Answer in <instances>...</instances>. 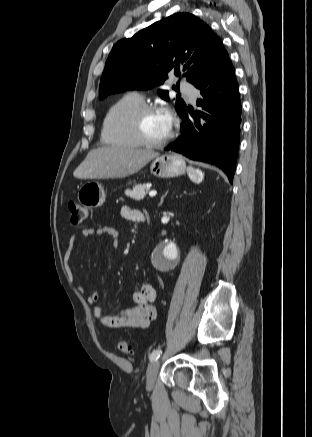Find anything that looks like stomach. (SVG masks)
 <instances>
[{
    "instance_id": "obj_1",
    "label": "stomach",
    "mask_w": 312,
    "mask_h": 437,
    "mask_svg": "<svg viewBox=\"0 0 312 437\" xmlns=\"http://www.w3.org/2000/svg\"><path fill=\"white\" fill-rule=\"evenodd\" d=\"M150 171L156 177L171 178L184 174L186 164L182 156L176 153L158 155L153 158ZM77 198L82 205L88 208H98L105 202L106 194L99 182L88 181L80 187Z\"/></svg>"
}]
</instances>
